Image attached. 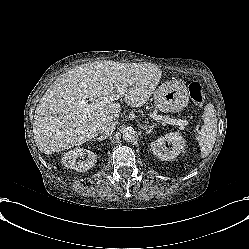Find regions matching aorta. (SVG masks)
Here are the masks:
<instances>
[{"mask_svg":"<svg viewBox=\"0 0 249 249\" xmlns=\"http://www.w3.org/2000/svg\"><path fill=\"white\" fill-rule=\"evenodd\" d=\"M122 138L126 142H134L135 139H136V132L134 131L133 128L128 127V128H126V129L123 130V132H122Z\"/></svg>","mask_w":249,"mask_h":249,"instance_id":"762f6f07","label":"aorta"}]
</instances>
